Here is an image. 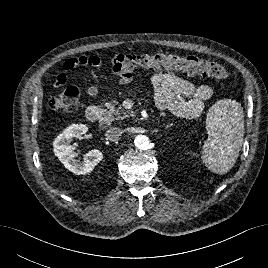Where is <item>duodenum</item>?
Instances as JSON below:
<instances>
[{
  "mask_svg": "<svg viewBox=\"0 0 268 268\" xmlns=\"http://www.w3.org/2000/svg\"><path fill=\"white\" fill-rule=\"evenodd\" d=\"M86 115L90 120L101 121L103 127H106L109 124V120H107L108 114L96 106L88 107Z\"/></svg>",
  "mask_w": 268,
  "mask_h": 268,
  "instance_id": "1",
  "label": "duodenum"
}]
</instances>
